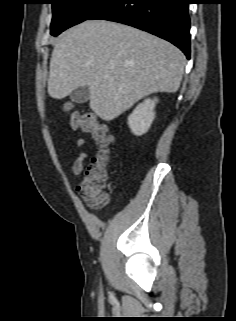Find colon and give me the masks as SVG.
Segmentation results:
<instances>
[{
	"label": "colon",
	"instance_id": "colon-1",
	"mask_svg": "<svg viewBox=\"0 0 236 321\" xmlns=\"http://www.w3.org/2000/svg\"><path fill=\"white\" fill-rule=\"evenodd\" d=\"M70 125L74 130L89 133L97 146V155L91 159L80 180L78 193L91 207H101L107 202L108 162L112 137L106 126L99 123L90 113L73 112L70 116Z\"/></svg>",
	"mask_w": 236,
	"mask_h": 321
}]
</instances>
